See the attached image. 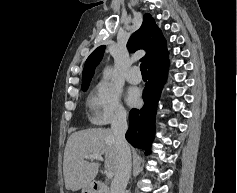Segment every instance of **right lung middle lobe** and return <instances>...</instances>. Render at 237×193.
<instances>
[{"instance_id": "obj_1", "label": "right lung middle lobe", "mask_w": 237, "mask_h": 193, "mask_svg": "<svg viewBox=\"0 0 237 193\" xmlns=\"http://www.w3.org/2000/svg\"><path fill=\"white\" fill-rule=\"evenodd\" d=\"M87 88H88V87H86V88H82V89H83L84 91H86V90H87Z\"/></svg>"}]
</instances>
